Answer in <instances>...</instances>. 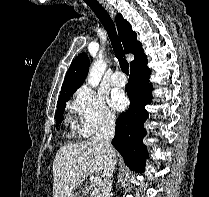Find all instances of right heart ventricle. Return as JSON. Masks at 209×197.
<instances>
[{
    "mask_svg": "<svg viewBox=\"0 0 209 197\" xmlns=\"http://www.w3.org/2000/svg\"><path fill=\"white\" fill-rule=\"evenodd\" d=\"M68 122L71 124V127L73 130L78 129V126L75 124V122L71 118H68Z\"/></svg>",
    "mask_w": 209,
    "mask_h": 197,
    "instance_id": "right-heart-ventricle-1",
    "label": "right heart ventricle"
}]
</instances>
